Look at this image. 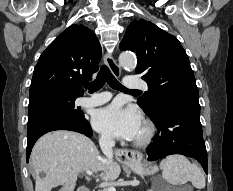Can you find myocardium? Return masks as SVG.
Here are the masks:
<instances>
[{
	"label": "myocardium",
	"mask_w": 233,
	"mask_h": 191,
	"mask_svg": "<svg viewBox=\"0 0 233 191\" xmlns=\"http://www.w3.org/2000/svg\"><path fill=\"white\" fill-rule=\"evenodd\" d=\"M144 135L141 138L134 140V145L137 147H145L152 141L155 135V127L153 123L149 120L143 122Z\"/></svg>",
	"instance_id": "1"
}]
</instances>
